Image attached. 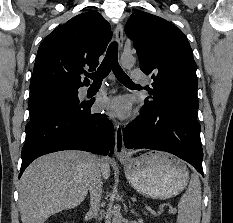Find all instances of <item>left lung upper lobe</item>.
Segmentation results:
<instances>
[{
  "mask_svg": "<svg viewBox=\"0 0 233 223\" xmlns=\"http://www.w3.org/2000/svg\"><path fill=\"white\" fill-rule=\"evenodd\" d=\"M125 32L134 43L140 69L155 82L143 108L197 112L196 63L182 31L163 18L138 11L128 19Z\"/></svg>",
  "mask_w": 233,
  "mask_h": 223,
  "instance_id": "left-lung-upper-lobe-1",
  "label": "left lung upper lobe"
}]
</instances>
